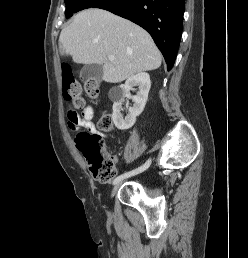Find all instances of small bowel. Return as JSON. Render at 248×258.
I'll return each instance as SVG.
<instances>
[{"label":"small bowel","instance_id":"obj_1","mask_svg":"<svg viewBox=\"0 0 248 258\" xmlns=\"http://www.w3.org/2000/svg\"><path fill=\"white\" fill-rule=\"evenodd\" d=\"M94 111L90 105H85L80 116H74L73 113L70 114L71 122L85 128L86 130L97 132L98 130L93 122Z\"/></svg>","mask_w":248,"mask_h":258}]
</instances>
